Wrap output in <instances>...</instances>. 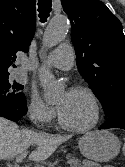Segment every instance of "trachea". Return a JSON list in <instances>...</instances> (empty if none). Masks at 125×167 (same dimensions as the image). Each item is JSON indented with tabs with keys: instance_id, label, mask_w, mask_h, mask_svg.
I'll return each mask as SVG.
<instances>
[{
	"instance_id": "1",
	"label": "trachea",
	"mask_w": 125,
	"mask_h": 167,
	"mask_svg": "<svg viewBox=\"0 0 125 167\" xmlns=\"http://www.w3.org/2000/svg\"><path fill=\"white\" fill-rule=\"evenodd\" d=\"M51 7L52 0H38L39 17L42 23L47 21V18L51 12Z\"/></svg>"
}]
</instances>
